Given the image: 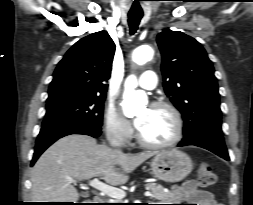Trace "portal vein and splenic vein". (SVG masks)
<instances>
[{
    "label": "portal vein and splenic vein",
    "instance_id": "18ae733b",
    "mask_svg": "<svg viewBox=\"0 0 253 205\" xmlns=\"http://www.w3.org/2000/svg\"><path fill=\"white\" fill-rule=\"evenodd\" d=\"M66 181H68L70 183H77V181L72 178H68ZM88 184L92 188L99 190L100 192L106 194L107 196H109L113 199L121 200L126 196V193L123 190L116 188V187H112L110 185H107V184L99 181L97 178H94L93 180L89 181ZM144 195L149 197V196H151V192L146 191L144 193Z\"/></svg>",
    "mask_w": 253,
    "mask_h": 205
}]
</instances>
